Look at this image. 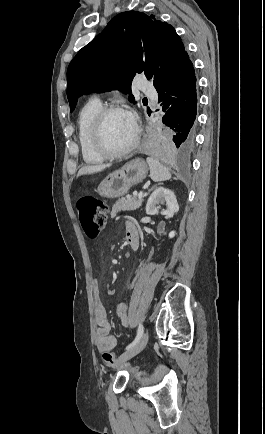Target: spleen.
Masks as SVG:
<instances>
[{
	"label": "spleen",
	"mask_w": 265,
	"mask_h": 434,
	"mask_svg": "<svg viewBox=\"0 0 265 434\" xmlns=\"http://www.w3.org/2000/svg\"><path fill=\"white\" fill-rule=\"evenodd\" d=\"M147 164L150 170V178L153 182H164V180H170L171 174L163 164H160L159 160L154 158H147Z\"/></svg>",
	"instance_id": "obj_1"
}]
</instances>
